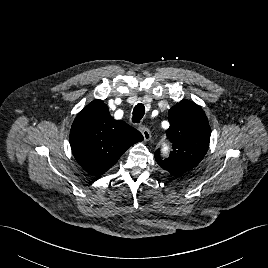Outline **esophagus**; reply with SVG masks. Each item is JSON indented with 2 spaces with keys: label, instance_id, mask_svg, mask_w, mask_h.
Returning <instances> with one entry per match:
<instances>
[{
  "label": "esophagus",
  "instance_id": "esophagus-1",
  "mask_svg": "<svg viewBox=\"0 0 268 268\" xmlns=\"http://www.w3.org/2000/svg\"><path fill=\"white\" fill-rule=\"evenodd\" d=\"M139 130L141 131L144 141H149L151 138V133L150 131L143 125L139 126Z\"/></svg>",
  "mask_w": 268,
  "mask_h": 268
}]
</instances>
